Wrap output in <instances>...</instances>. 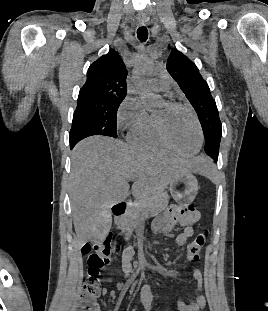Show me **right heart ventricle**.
I'll return each mask as SVG.
<instances>
[{
	"mask_svg": "<svg viewBox=\"0 0 268 311\" xmlns=\"http://www.w3.org/2000/svg\"><path fill=\"white\" fill-rule=\"evenodd\" d=\"M128 140L139 149L155 152L169 151L158 135L154 113L147 114L142 122L130 130Z\"/></svg>",
	"mask_w": 268,
	"mask_h": 311,
	"instance_id": "right-heart-ventricle-1",
	"label": "right heart ventricle"
}]
</instances>
